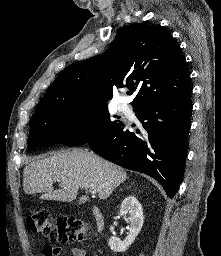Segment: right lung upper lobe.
Listing matches in <instances>:
<instances>
[{"instance_id": "obj_1", "label": "right lung upper lobe", "mask_w": 221, "mask_h": 256, "mask_svg": "<svg viewBox=\"0 0 221 256\" xmlns=\"http://www.w3.org/2000/svg\"><path fill=\"white\" fill-rule=\"evenodd\" d=\"M181 48L167 29L138 23L128 26L101 55L66 67L39 102L35 113L57 102L107 103L114 86L140 88L134 111L150 101L191 92Z\"/></svg>"}]
</instances>
